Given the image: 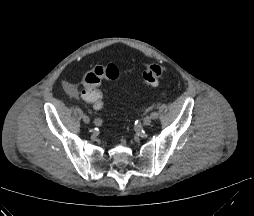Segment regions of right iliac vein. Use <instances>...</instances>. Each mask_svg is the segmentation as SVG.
Segmentation results:
<instances>
[{
	"mask_svg": "<svg viewBox=\"0 0 254 216\" xmlns=\"http://www.w3.org/2000/svg\"><path fill=\"white\" fill-rule=\"evenodd\" d=\"M82 121L85 124H90V122H91L90 118L87 115H82Z\"/></svg>",
	"mask_w": 254,
	"mask_h": 216,
	"instance_id": "right-iliac-vein-1",
	"label": "right iliac vein"
}]
</instances>
